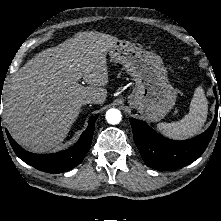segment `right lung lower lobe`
Wrapping results in <instances>:
<instances>
[{
	"instance_id": "1",
	"label": "right lung lower lobe",
	"mask_w": 221,
	"mask_h": 221,
	"mask_svg": "<svg viewBox=\"0 0 221 221\" xmlns=\"http://www.w3.org/2000/svg\"><path fill=\"white\" fill-rule=\"evenodd\" d=\"M97 117L94 116L90 119L88 128L83 132L77 143L65 151L52 154H34L25 151L12 139L7 130L6 133L13 150L25 163L44 172L61 173L71 170L84 159L91 146ZM0 128L2 131L1 118Z\"/></svg>"
}]
</instances>
